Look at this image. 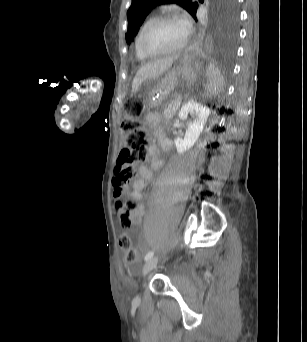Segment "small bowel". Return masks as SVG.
<instances>
[{"instance_id": "small-bowel-1", "label": "small bowel", "mask_w": 307, "mask_h": 342, "mask_svg": "<svg viewBox=\"0 0 307 342\" xmlns=\"http://www.w3.org/2000/svg\"><path fill=\"white\" fill-rule=\"evenodd\" d=\"M147 125L152 133L157 137L160 145V149L151 144L147 152V162L152 169H159L162 167L163 162L160 158V151H166L171 147V141L164 135V133L156 127V124L151 117L147 118ZM139 175L132 180L130 196L135 203V215L133 218V224L139 225L145 214V205L143 203V189L145 187L146 180L152 178V171L144 164H140L138 167Z\"/></svg>"}]
</instances>
